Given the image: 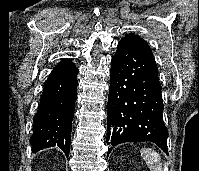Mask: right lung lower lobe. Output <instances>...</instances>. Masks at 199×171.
I'll return each instance as SVG.
<instances>
[{
	"label": "right lung lower lobe",
	"mask_w": 199,
	"mask_h": 171,
	"mask_svg": "<svg viewBox=\"0 0 199 171\" xmlns=\"http://www.w3.org/2000/svg\"><path fill=\"white\" fill-rule=\"evenodd\" d=\"M78 68L68 58L62 59L44 83L40 104L33 118L32 151L58 146L66 156L71 144Z\"/></svg>",
	"instance_id": "obj_1"
}]
</instances>
